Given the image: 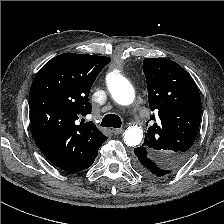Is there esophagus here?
Here are the masks:
<instances>
[{
  "label": "esophagus",
  "instance_id": "34e87169",
  "mask_svg": "<svg viewBox=\"0 0 224 224\" xmlns=\"http://www.w3.org/2000/svg\"><path fill=\"white\" fill-rule=\"evenodd\" d=\"M112 132L115 134V135H119L123 132V129L122 128H118V129H113Z\"/></svg>",
  "mask_w": 224,
  "mask_h": 224
}]
</instances>
